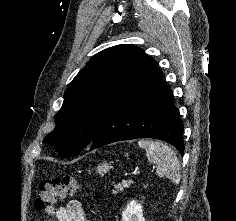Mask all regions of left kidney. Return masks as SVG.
<instances>
[{"label": "left kidney", "instance_id": "obj_1", "mask_svg": "<svg viewBox=\"0 0 236 221\" xmlns=\"http://www.w3.org/2000/svg\"><path fill=\"white\" fill-rule=\"evenodd\" d=\"M122 221H145L142 205L132 200L122 212Z\"/></svg>", "mask_w": 236, "mask_h": 221}]
</instances>
